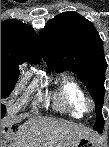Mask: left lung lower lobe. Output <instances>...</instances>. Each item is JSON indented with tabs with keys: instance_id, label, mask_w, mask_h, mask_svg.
I'll use <instances>...</instances> for the list:
<instances>
[{
	"instance_id": "0a47b994",
	"label": "left lung lower lobe",
	"mask_w": 109,
	"mask_h": 147,
	"mask_svg": "<svg viewBox=\"0 0 109 147\" xmlns=\"http://www.w3.org/2000/svg\"><path fill=\"white\" fill-rule=\"evenodd\" d=\"M96 130L100 133L103 131V129H97V128H96Z\"/></svg>"
}]
</instances>
